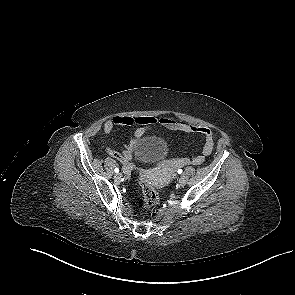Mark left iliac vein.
Segmentation results:
<instances>
[{"label": "left iliac vein", "instance_id": "left-iliac-vein-1", "mask_svg": "<svg viewBox=\"0 0 295 295\" xmlns=\"http://www.w3.org/2000/svg\"><path fill=\"white\" fill-rule=\"evenodd\" d=\"M178 183H179L180 186L183 187V186L186 184V179H185L184 177H181V178L179 179Z\"/></svg>", "mask_w": 295, "mask_h": 295}]
</instances>
